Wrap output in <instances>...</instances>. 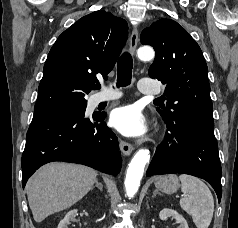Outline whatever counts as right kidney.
<instances>
[{
    "label": "right kidney",
    "mask_w": 238,
    "mask_h": 228,
    "mask_svg": "<svg viewBox=\"0 0 238 228\" xmlns=\"http://www.w3.org/2000/svg\"><path fill=\"white\" fill-rule=\"evenodd\" d=\"M76 215H77L76 209L69 211L65 215V217L60 221L57 228H68L70 222L75 220Z\"/></svg>",
    "instance_id": "ca27d5eb"
}]
</instances>
